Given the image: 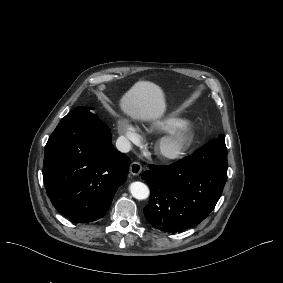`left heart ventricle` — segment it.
Listing matches in <instances>:
<instances>
[{
	"instance_id": "obj_1",
	"label": "left heart ventricle",
	"mask_w": 283,
	"mask_h": 283,
	"mask_svg": "<svg viewBox=\"0 0 283 283\" xmlns=\"http://www.w3.org/2000/svg\"><path fill=\"white\" fill-rule=\"evenodd\" d=\"M171 151V148H167V147H159V153H160V156L162 157L163 155L169 153Z\"/></svg>"
}]
</instances>
